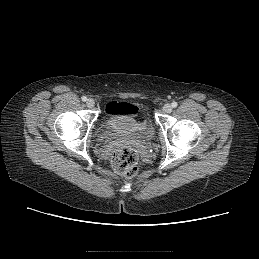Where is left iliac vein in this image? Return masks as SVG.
Returning <instances> with one entry per match:
<instances>
[{
    "instance_id": "1",
    "label": "left iliac vein",
    "mask_w": 259,
    "mask_h": 259,
    "mask_svg": "<svg viewBox=\"0 0 259 259\" xmlns=\"http://www.w3.org/2000/svg\"><path fill=\"white\" fill-rule=\"evenodd\" d=\"M163 111H164L165 113H170V112L172 111V105L169 104V103L165 104V105L163 106Z\"/></svg>"
}]
</instances>
